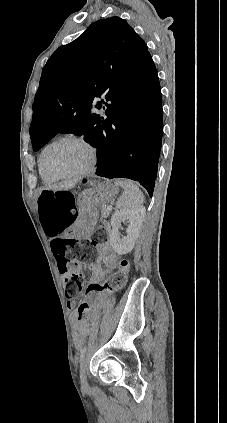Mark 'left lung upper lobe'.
<instances>
[{
    "instance_id": "1",
    "label": "left lung upper lobe",
    "mask_w": 227,
    "mask_h": 423,
    "mask_svg": "<svg viewBox=\"0 0 227 423\" xmlns=\"http://www.w3.org/2000/svg\"><path fill=\"white\" fill-rule=\"evenodd\" d=\"M143 39L119 17L92 23L59 47L42 70L33 103L30 136L38 151L58 133L92 139L105 113L131 111L156 71Z\"/></svg>"
}]
</instances>
